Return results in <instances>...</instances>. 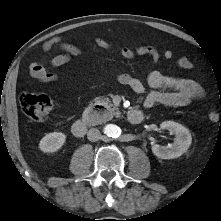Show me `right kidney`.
I'll use <instances>...</instances> for the list:
<instances>
[{"label":"right kidney","mask_w":221,"mask_h":221,"mask_svg":"<svg viewBox=\"0 0 221 221\" xmlns=\"http://www.w3.org/2000/svg\"><path fill=\"white\" fill-rule=\"evenodd\" d=\"M66 135L61 132H52L46 134L39 143V148L43 152H56L65 143Z\"/></svg>","instance_id":"right-kidney-1"}]
</instances>
